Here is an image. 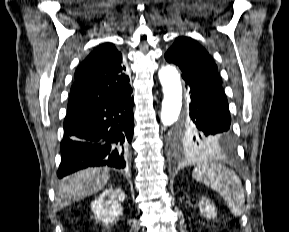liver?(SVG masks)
Returning <instances> with one entry per match:
<instances>
[{
	"mask_svg": "<svg viewBox=\"0 0 289 232\" xmlns=\"http://www.w3.org/2000/svg\"><path fill=\"white\" fill-rule=\"evenodd\" d=\"M110 178L108 168H88L63 180L58 188L55 205L58 209L83 199L105 187Z\"/></svg>",
	"mask_w": 289,
	"mask_h": 232,
	"instance_id": "6515ba94",
	"label": "liver"
}]
</instances>
